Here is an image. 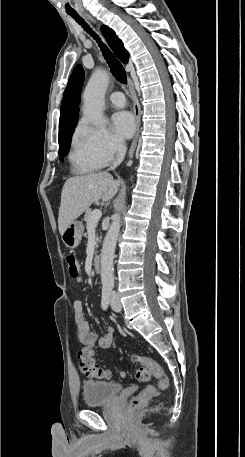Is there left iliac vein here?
I'll use <instances>...</instances> for the list:
<instances>
[{
  "label": "left iliac vein",
  "instance_id": "left-iliac-vein-1",
  "mask_svg": "<svg viewBox=\"0 0 245 457\" xmlns=\"http://www.w3.org/2000/svg\"><path fill=\"white\" fill-rule=\"evenodd\" d=\"M111 308L114 311H121L122 310V304L117 296V294L112 293L111 294Z\"/></svg>",
  "mask_w": 245,
  "mask_h": 457
}]
</instances>
